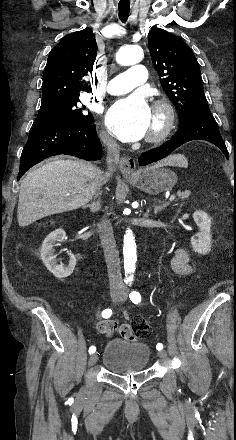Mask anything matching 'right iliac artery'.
<instances>
[{
  "instance_id": "right-iliac-artery-1",
  "label": "right iliac artery",
  "mask_w": 236,
  "mask_h": 440,
  "mask_svg": "<svg viewBox=\"0 0 236 440\" xmlns=\"http://www.w3.org/2000/svg\"><path fill=\"white\" fill-rule=\"evenodd\" d=\"M112 315V310L111 309H105L102 311V317L103 318H109ZM96 351V347L95 346H91L89 348V353L93 354Z\"/></svg>"
}]
</instances>
